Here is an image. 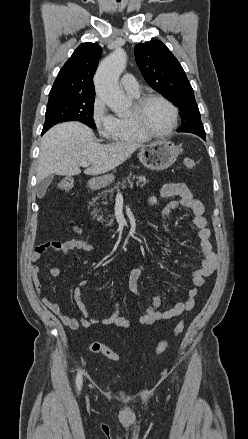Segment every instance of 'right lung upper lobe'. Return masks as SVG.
Masks as SVG:
<instances>
[{
  "label": "right lung upper lobe",
  "instance_id": "cb5924a9",
  "mask_svg": "<svg viewBox=\"0 0 248 439\" xmlns=\"http://www.w3.org/2000/svg\"><path fill=\"white\" fill-rule=\"evenodd\" d=\"M101 54L102 48L97 43L80 44L58 73L49 97L63 94L94 95L93 75Z\"/></svg>",
  "mask_w": 248,
  "mask_h": 439
}]
</instances>
